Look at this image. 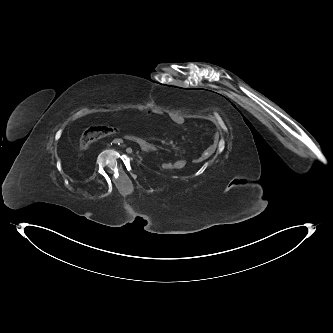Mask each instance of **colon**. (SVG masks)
I'll return each instance as SVG.
<instances>
[{
	"instance_id": "1",
	"label": "colon",
	"mask_w": 333,
	"mask_h": 333,
	"mask_svg": "<svg viewBox=\"0 0 333 333\" xmlns=\"http://www.w3.org/2000/svg\"><path fill=\"white\" fill-rule=\"evenodd\" d=\"M117 131V128L114 126L109 125H102V126H93L87 129L81 136L80 144L83 148H88L97 140L112 135ZM163 168H168L174 170L173 162L172 161H163L162 162Z\"/></svg>"
}]
</instances>
